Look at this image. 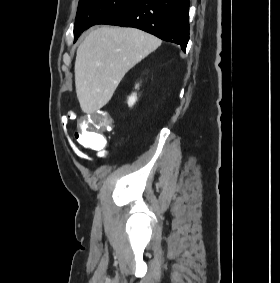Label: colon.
<instances>
[{
    "instance_id": "colon-1",
    "label": "colon",
    "mask_w": 280,
    "mask_h": 283,
    "mask_svg": "<svg viewBox=\"0 0 280 283\" xmlns=\"http://www.w3.org/2000/svg\"><path fill=\"white\" fill-rule=\"evenodd\" d=\"M67 114L72 120L75 118L72 111H68ZM80 119L76 125V142L83 148L98 153L103 152L107 146V140L101 132H113L114 123L108 122L111 114H108L107 110H85V114H80ZM86 119L94 120L97 127H89Z\"/></svg>"
}]
</instances>
